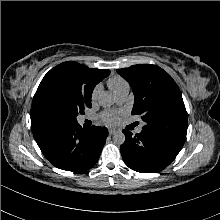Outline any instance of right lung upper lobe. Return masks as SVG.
<instances>
[{
  "label": "right lung upper lobe",
  "mask_w": 220,
  "mask_h": 220,
  "mask_svg": "<svg viewBox=\"0 0 220 220\" xmlns=\"http://www.w3.org/2000/svg\"><path fill=\"white\" fill-rule=\"evenodd\" d=\"M51 70H69V71H78L83 73V86L87 87L88 89L92 90L94 89L95 85L98 84L100 81H102L105 77H107L110 74V71L107 69H94V68H88L85 65H81L76 62L68 61L61 63L54 67ZM41 88V84L39 85L35 96L33 98L32 102V108H31V123H34L36 121L40 120H47L45 119L39 112L38 109V95Z\"/></svg>",
  "instance_id": "cb5924a9"
}]
</instances>
